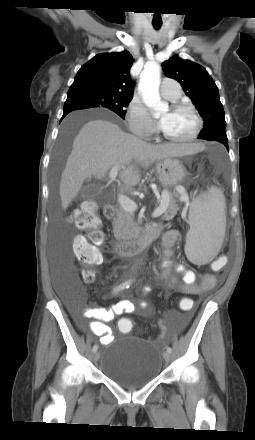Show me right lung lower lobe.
Returning <instances> with one entry per match:
<instances>
[{
  "label": "right lung lower lobe",
  "mask_w": 255,
  "mask_h": 440,
  "mask_svg": "<svg viewBox=\"0 0 255 440\" xmlns=\"http://www.w3.org/2000/svg\"><path fill=\"white\" fill-rule=\"evenodd\" d=\"M69 112H71V111H64V113H63V116H62V119L69 113ZM61 119V120H62Z\"/></svg>",
  "instance_id": "right-lung-lower-lobe-1"
}]
</instances>
